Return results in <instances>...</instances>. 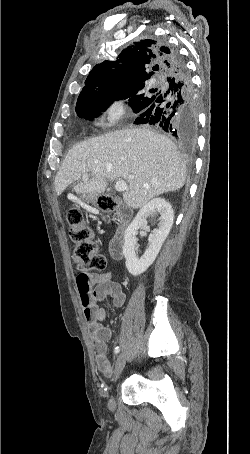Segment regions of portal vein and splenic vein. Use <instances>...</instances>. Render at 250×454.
Instances as JSON below:
<instances>
[{
  "instance_id": "18ae733b",
  "label": "portal vein and splenic vein",
  "mask_w": 250,
  "mask_h": 454,
  "mask_svg": "<svg viewBox=\"0 0 250 454\" xmlns=\"http://www.w3.org/2000/svg\"><path fill=\"white\" fill-rule=\"evenodd\" d=\"M88 177H89V176H88L87 173H84V174L82 175V179H83V180H87ZM115 190L118 191V192H122V191L128 190V187H127L126 182L123 181V180L117 181L116 184H115Z\"/></svg>"
}]
</instances>
